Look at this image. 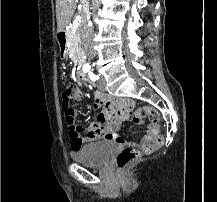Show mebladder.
Wrapping results in <instances>:
<instances>
[{
  "label": "bladder",
  "instance_id": "obj_1",
  "mask_svg": "<svg viewBox=\"0 0 217 202\" xmlns=\"http://www.w3.org/2000/svg\"><path fill=\"white\" fill-rule=\"evenodd\" d=\"M115 149L114 142L102 141L87 145L72 154L84 166L103 165L104 161L110 158L111 152Z\"/></svg>",
  "mask_w": 217,
  "mask_h": 202
}]
</instances>
